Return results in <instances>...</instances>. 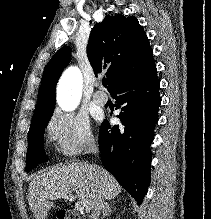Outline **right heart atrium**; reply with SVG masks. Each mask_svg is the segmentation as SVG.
Wrapping results in <instances>:
<instances>
[{"label": "right heart atrium", "mask_w": 211, "mask_h": 219, "mask_svg": "<svg viewBox=\"0 0 211 219\" xmlns=\"http://www.w3.org/2000/svg\"><path fill=\"white\" fill-rule=\"evenodd\" d=\"M46 134L56 150L65 157L77 156L96 146L88 118L71 112H53L46 124Z\"/></svg>", "instance_id": "1"}]
</instances>
